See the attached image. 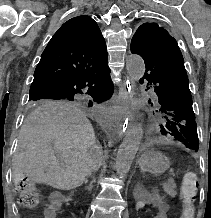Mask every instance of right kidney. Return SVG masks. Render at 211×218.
Masks as SVG:
<instances>
[{
	"label": "right kidney",
	"mask_w": 211,
	"mask_h": 218,
	"mask_svg": "<svg viewBox=\"0 0 211 218\" xmlns=\"http://www.w3.org/2000/svg\"><path fill=\"white\" fill-rule=\"evenodd\" d=\"M49 198H53V201H47L46 209H44L46 218H60L57 214H61L62 210L58 209V206H67L68 197H64V193H49Z\"/></svg>",
	"instance_id": "right-kidney-1"
}]
</instances>
